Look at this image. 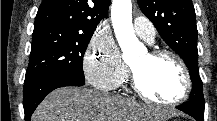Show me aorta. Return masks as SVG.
<instances>
[{
  "instance_id": "762f6f07",
  "label": "aorta",
  "mask_w": 217,
  "mask_h": 121,
  "mask_svg": "<svg viewBox=\"0 0 217 121\" xmlns=\"http://www.w3.org/2000/svg\"><path fill=\"white\" fill-rule=\"evenodd\" d=\"M111 19L115 36L123 51V59L128 61L141 49L133 29L131 0H113Z\"/></svg>"
}]
</instances>
